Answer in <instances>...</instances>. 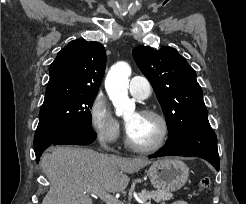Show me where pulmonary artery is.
Wrapping results in <instances>:
<instances>
[{"mask_svg": "<svg viewBox=\"0 0 246 204\" xmlns=\"http://www.w3.org/2000/svg\"><path fill=\"white\" fill-rule=\"evenodd\" d=\"M130 94L137 99H146L151 94L150 82L142 76H135L129 83Z\"/></svg>", "mask_w": 246, "mask_h": 204, "instance_id": "e3ab8cb5", "label": "pulmonary artery"}]
</instances>
